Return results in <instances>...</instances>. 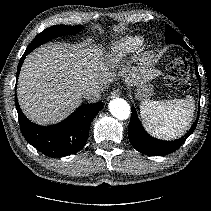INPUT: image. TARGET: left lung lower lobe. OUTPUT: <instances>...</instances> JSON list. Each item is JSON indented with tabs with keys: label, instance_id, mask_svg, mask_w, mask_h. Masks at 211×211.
Returning <instances> with one entry per match:
<instances>
[{
	"label": "left lung lower lobe",
	"instance_id": "left-lung-lower-lobe-1",
	"mask_svg": "<svg viewBox=\"0 0 211 211\" xmlns=\"http://www.w3.org/2000/svg\"><path fill=\"white\" fill-rule=\"evenodd\" d=\"M175 43L183 46L192 54V50L187 46V44L184 42L183 39L178 40ZM195 73L198 80L200 81V76L198 73V67L196 61H195ZM131 109H132V114L128 129V137L130 143L137 151L150 156H162L177 150L185 142V140L194 132L199 118V111H198L197 119L192 125L189 132H187L185 136L181 137L180 139L169 142V141L158 140L150 136L144 130L140 120L138 119L137 111L135 110V108L132 107Z\"/></svg>",
	"mask_w": 211,
	"mask_h": 211
}]
</instances>
